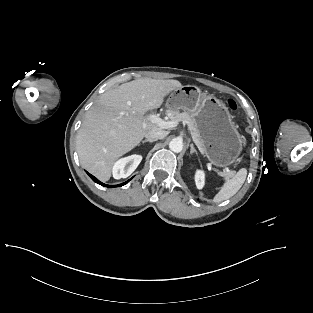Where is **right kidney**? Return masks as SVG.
Listing matches in <instances>:
<instances>
[{"mask_svg":"<svg viewBox=\"0 0 313 313\" xmlns=\"http://www.w3.org/2000/svg\"><path fill=\"white\" fill-rule=\"evenodd\" d=\"M142 160L141 155H131L119 159L112 168V174L115 179L126 178L130 176L138 167Z\"/></svg>","mask_w":313,"mask_h":313,"instance_id":"ca27d5eb","label":"right kidney"}]
</instances>
